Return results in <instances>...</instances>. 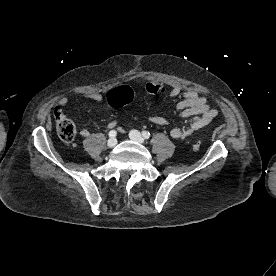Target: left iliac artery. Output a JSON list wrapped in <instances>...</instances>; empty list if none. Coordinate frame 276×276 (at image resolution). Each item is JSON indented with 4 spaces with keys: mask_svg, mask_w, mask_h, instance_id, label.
<instances>
[{
    "mask_svg": "<svg viewBox=\"0 0 276 276\" xmlns=\"http://www.w3.org/2000/svg\"><path fill=\"white\" fill-rule=\"evenodd\" d=\"M142 135L145 139H148L150 137V133L148 131H143Z\"/></svg>",
    "mask_w": 276,
    "mask_h": 276,
    "instance_id": "obj_1",
    "label": "left iliac artery"
}]
</instances>
